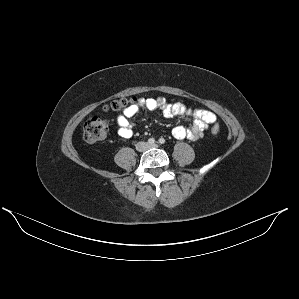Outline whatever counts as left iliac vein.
<instances>
[{
	"instance_id": "4c4485c4",
	"label": "left iliac vein",
	"mask_w": 299,
	"mask_h": 299,
	"mask_svg": "<svg viewBox=\"0 0 299 299\" xmlns=\"http://www.w3.org/2000/svg\"><path fill=\"white\" fill-rule=\"evenodd\" d=\"M158 147H159L158 144H152L147 146V148H158Z\"/></svg>"
}]
</instances>
